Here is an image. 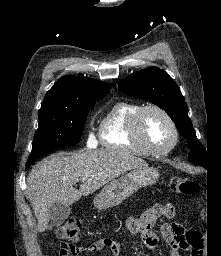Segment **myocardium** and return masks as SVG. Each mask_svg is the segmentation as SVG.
<instances>
[{"mask_svg":"<svg viewBox=\"0 0 221 256\" xmlns=\"http://www.w3.org/2000/svg\"><path fill=\"white\" fill-rule=\"evenodd\" d=\"M150 110L159 112L167 120V122L171 127L173 138L171 143L165 148H161V149L153 148L147 143V141L143 137V134H142L143 117H144V114ZM130 134H131L132 140L135 143H137L139 146H141L147 152V154H151V155L168 154L170 151H172L175 148L179 140V131L174 119L164 108L155 104H148V105L142 106L136 112L131 122Z\"/></svg>","mask_w":221,"mask_h":256,"instance_id":"obj_1","label":"myocardium"}]
</instances>
